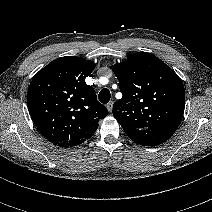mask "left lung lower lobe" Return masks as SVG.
Returning <instances> with one entry per match:
<instances>
[{"label": "left lung lower lobe", "instance_id": "left-lung-lower-lobe-1", "mask_svg": "<svg viewBox=\"0 0 212 212\" xmlns=\"http://www.w3.org/2000/svg\"><path fill=\"white\" fill-rule=\"evenodd\" d=\"M175 130L164 128L134 129L127 133L129 138L143 146H157L166 142Z\"/></svg>", "mask_w": 212, "mask_h": 212}]
</instances>
